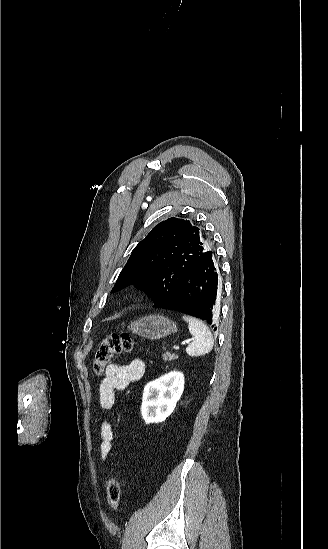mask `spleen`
<instances>
[{
    "label": "spleen",
    "mask_w": 328,
    "mask_h": 549,
    "mask_svg": "<svg viewBox=\"0 0 328 549\" xmlns=\"http://www.w3.org/2000/svg\"><path fill=\"white\" fill-rule=\"evenodd\" d=\"M183 321L188 323L189 333L193 335V343H189L186 353L189 357H201V355H207L213 349L214 339L211 335L210 329L207 325L195 319V317H189V315H183Z\"/></svg>",
    "instance_id": "3e777b00"
}]
</instances>
